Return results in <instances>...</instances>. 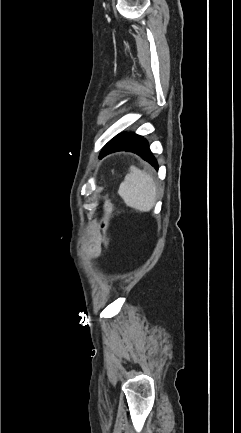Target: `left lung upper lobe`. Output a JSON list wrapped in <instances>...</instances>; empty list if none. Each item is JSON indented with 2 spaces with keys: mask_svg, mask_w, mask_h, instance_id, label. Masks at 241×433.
<instances>
[{
  "mask_svg": "<svg viewBox=\"0 0 241 433\" xmlns=\"http://www.w3.org/2000/svg\"><path fill=\"white\" fill-rule=\"evenodd\" d=\"M142 137L134 134V133H123L118 134L116 137H114L112 140H110L105 147L103 148L101 155L106 153L109 150L115 149L120 146L128 145L138 139H141Z\"/></svg>",
  "mask_w": 241,
  "mask_h": 433,
  "instance_id": "1",
  "label": "left lung upper lobe"
}]
</instances>
